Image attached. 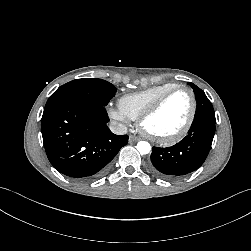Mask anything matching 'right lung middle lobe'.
<instances>
[{"instance_id": "dd1d6c3e", "label": "right lung middle lobe", "mask_w": 251, "mask_h": 251, "mask_svg": "<svg viewBox=\"0 0 251 251\" xmlns=\"http://www.w3.org/2000/svg\"><path fill=\"white\" fill-rule=\"evenodd\" d=\"M116 92L111 83L97 78H82L59 87L48 99L46 105L61 100H83L106 106Z\"/></svg>"}]
</instances>
